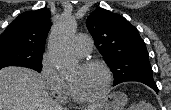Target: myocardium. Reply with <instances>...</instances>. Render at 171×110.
Listing matches in <instances>:
<instances>
[{"label": "myocardium", "instance_id": "myocardium-1", "mask_svg": "<svg viewBox=\"0 0 171 110\" xmlns=\"http://www.w3.org/2000/svg\"><path fill=\"white\" fill-rule=\"evenodd\" d=\"M80 67L83 69H87L91 67H98L102 69L106 77L105 85L103 89L101 90V92H99L98 94L91 96V97H82V96H79L75 92L72 84L68 81L69 95L71 99L80 104H90V103L99 101L102 98H104L106 94L109 92L112 82H113V74H112L111 68L106 63L99 61V60L84 61L81 63Z\"/></svg>", "mask_w": 171, "mask_h": 110}]
</instances>
